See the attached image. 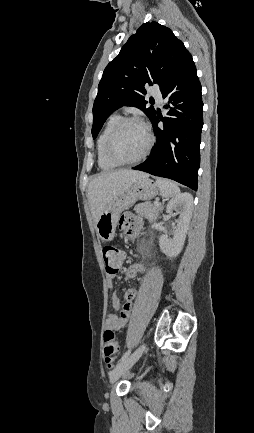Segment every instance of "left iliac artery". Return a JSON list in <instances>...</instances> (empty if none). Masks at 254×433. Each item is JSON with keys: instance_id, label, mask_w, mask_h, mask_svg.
Wrapping results in <instances>:
<instances>
[{"instance_id": "obj_1", "label": "left iliac artery", "mask_w": 254, "mask_h": 433, "mask_svg": "<svg viewBox=\"0 0 254 433\" xmlns=\"http://www.w3.org/2000/svg\"><path fill=\"white\" fill-rule=\"evenodd\" d=\"M130 353H131V350H130V349L127 350V351L123 354V356L121 357V359L119 360V362H122L123 360H125V359L130 355Z\"/></svg>"}]
</instances>
